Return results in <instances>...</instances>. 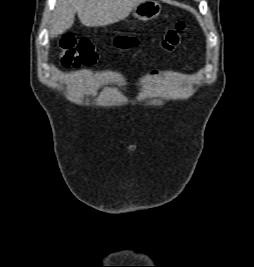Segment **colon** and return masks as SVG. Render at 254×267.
I'll return each instance as SVG.
<instances>
[{
	"instance_id": "5ec220e1",
	"label": "colon",
	"mask_w": 254,
	"mask_h": 267,
	"mask_svg": "<svg viewBox=\"0 0 254 267\" xmlns=\"http://www.w3.org/2000/svg\"><path fill=\"white\" fill-rule=\"evenodd\" d=\"M185 25L183 22H177L174 29L169 30L161 46L165 51L175 50L181 43V33ZM115 44L121 49H128L138 44L134 37L118 36L115 38ZM60 58L64 66L79 67L81 65H91L97 60L95 46L89 40L77 41L72 34L62 36L60 43Z\"/></svg>"
}]
</instances>
